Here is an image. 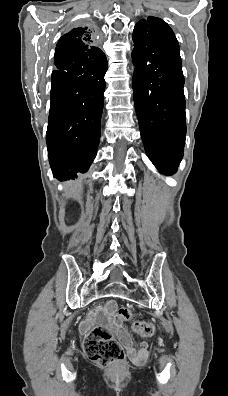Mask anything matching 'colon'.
<instances>
[{"mask_svg":"<svg viewBox=\"0 0 228 396\" xmlns=\"http://www.w3.org/2000/svg\"><path fill=\"white\" fill-rule=\"evenodd\" d=\"M118 315L125 321H132V328L136 333L143 336H151L154 333L155 328L152 323L133 321V313L129 308H120ZM83 348L88 359L104 367L118 365L125 358L121 344L104 326H98L89 333Z\"/></svg>","mask_w":228,"mask_h":396,"instance_id":"1","label":"colon"}]
</instances>
